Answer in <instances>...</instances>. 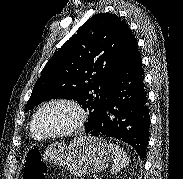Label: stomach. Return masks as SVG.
I'll list each match as a JSON object with an SVG mask.
<instances>
[{"label": "stomach", "instance_id": "0dacf381", "mask_svg": "<svg viewBox=\"0 0 183 179\" xmlns=\"http://www.w3.org/2000/svg\"><path fill=\"white\" fill-rule=\"evenodd\" d=\"M111 159L106 141L96 136H82L69 145L54 142L43 153L44 161L65 166L76 177L103 171Z\"/></svg>", "mask_w": 183, "mask_h": 179}]
</instances>
